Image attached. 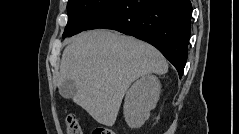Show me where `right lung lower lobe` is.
<instances>
[{
	"label": "right lung lower lobe",
	"instance_id": "1",
	"mask_svg": "<svg viewBox=\"0 0 239 134\" xmlns=\"http://www.w3.org/2000/svg\"><path fill=\"white\" fill-rule=\"evenodd\" d=\"M190 0H117L85 30L104 28L144 40L156 47L182 76L191 31Z\"/></svg>",
	"mask_w": 239,
	"mask_h": 134
}]
</instances>
